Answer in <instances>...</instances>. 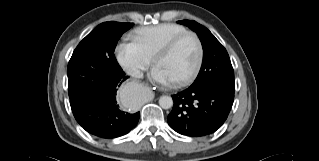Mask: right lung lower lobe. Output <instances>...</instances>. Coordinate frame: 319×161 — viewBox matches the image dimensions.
Listing matches in <instances>:
<instances>
[{"label":"right lung lower lobe","mask_w":319,"mask_h":161,"mask_svg":"<svg viewBox=\"0 0 319 161\" xmlns=\"http://www.w3.org/2000/svg\"><path fill=\"white\" fill-rule=\"evenodd\" d=\"M127 78L119 67L82 86L69 97L76 121L87 132L102 138H115L127 134L137 125L140 112L122 111L116 100V91Z\"/></svg>","instance_id":"right-lung-lower-lobe-1"}]
</instances>
